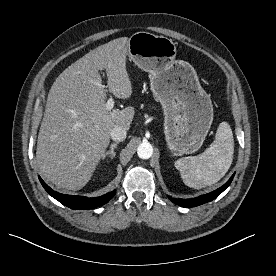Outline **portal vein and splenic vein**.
Wrapping results in <instances>:
<instances>
[{"label":"portal vein and splenic vein","instance_id":"18ae733b","mask_svg":"<svg viewBox=\"0 0 276 276\" xmlns=\"http://www.w3.org/2000/svg\"><path fill=\"white\" fill-rule=\"evenodd\" d=\"M113 106H114V99L110 97L106 102V109L108 111H111Z\"/></svg>","mask_w":276,"mask_h":276}]
</instances>
